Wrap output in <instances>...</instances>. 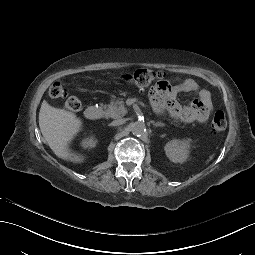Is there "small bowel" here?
Listing matches in <instances>:
<instances>
[{
    "label": "small bowel",
    "instance_id": "obj_1",
    "mask_svg": "<svg viewBox=\"0 0 255 255\" xmlns=\"http://www.w3.org/2000/svg\"><path fill=\"white\" fill-rule=\"evenodd\" d=\"M181 92H194L197 98L189 106H180L174 102V98ZM153 103L157 108L164 106V99L169 102L167 110L170 115L184 122H205L212 111V99L208 90L200 88L198 83L193 79H184L176 86H170L165 82L162 89L153 88L152 92Z\"/></svg>",
    "mask_w": 255,
    "mask_h": 255
}]
</instances>
